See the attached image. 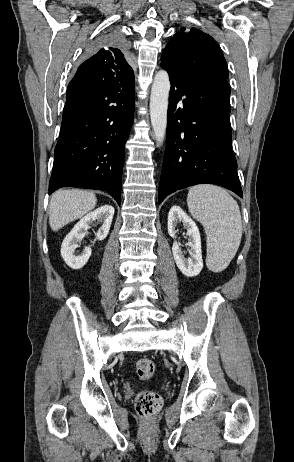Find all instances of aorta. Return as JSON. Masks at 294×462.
<instances>
[{
    "label": "aorta",
    "instance_id": "aorta-1",
    "mask_svg": "<svg viewBox=\"0 0 294 462\" xmlns=\"http://www.w3.org/2000/svg\"><path fill=\"white\" fill-rule=\"evenodd\" d=\"M169 91V75L167 71L160 70L155 74L150 96L151 125L160 144L163 143L166 134Z\"/></svg>",
    "mask_w": 294,
    "mask_h": 462
}]
</instances>
